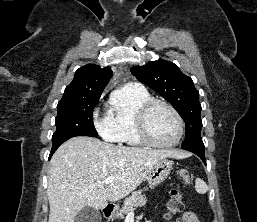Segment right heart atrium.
Returning <instances> with one entry per match:
<instances>
[{"mask_svg": "<svg viewBox=\"0 0 257 222\" xmlns=\"http://www.w3.org/2000/svg\"><path fill=\"white\" fill-rule=\"evenodd\" d=\"M96 128L102 137L108 140H113L114 135L112 133L111 122L108 116L104 120L97 122Z\"/></svg>", "mask_w": 257, "mask_h": 222, "instance_id": "right-heart-atrium-1", "label": "right heart atrium"}]
</instances>
